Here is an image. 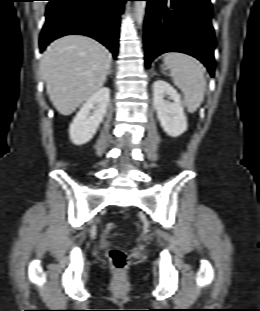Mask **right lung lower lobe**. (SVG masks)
<instances>
[{
  "mask_svg": "<svg viewBox=\"0 0 260 311\" xmlns=\"http://www.w3.org/2000/svg\"><path fill=\"white\" fill-rule=\"evenodd\" d=\"M48 1L41 50L61 36L81 34L98 40L117 57L120 15L127 0Z\"/></svg>",
  "mask_w": 260,
  "mask_h": 311,
  "instance_id": "1",
  "label": "right lung lower lobe"
}]
</instances>
